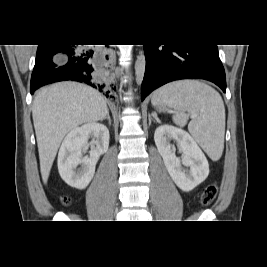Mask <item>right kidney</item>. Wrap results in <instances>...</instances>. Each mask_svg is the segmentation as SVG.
<instances>
[{
    "label": "right kidney",
    "mask_w": 267,
    "mask_h": 267,
    "mask_svg": "<svg viewBox=\"0 0 267 267\" xmlns=\"http://www.w3.org/2000/svg\"><path fill=\"white\" fill-rule=\"evenodd\" d=\"M93 140L88 144V139ZM90 145L89 157H82V151ZM109 130L103 124L90 122L71 130L58 153V170L61 178L70 186L84 189L95 174L100 155L107 152ZM81 165V168L77 167Z\"/></svg>",
    "instance_id": "right-kidney-1"
}]
</instances>
